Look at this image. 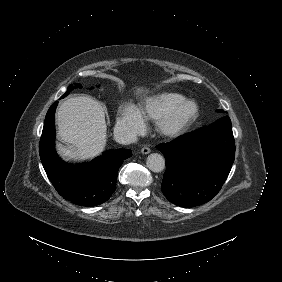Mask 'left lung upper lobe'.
<instances>
[{
    "label": "left lung upper lobe",
    "mask_w": 282,
    "mask_h": 282,
    "mask_svg": "<svg viewBox=\"0 0 282 282\" xmlns=\"http://www.w3.org/2000/svg\"><path fill=\"white\" fill-rule=\"evenodd\" d=\"M218 112H223V110H217Z\"/></svg>",
    "instance_id": "5c2ea615"
}]
</instances>
